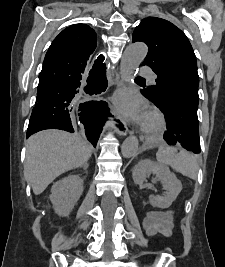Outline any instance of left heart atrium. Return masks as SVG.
Segmentation results:
<instances>
[{"mask_svg": "<svg viewBox=\"0 0 225 267\" xmlns=\"http://www.w3.org/2000/svg\"><path fill=\"white\" fill-rule=\"evenodd\" d=\"M113 102L124 116L144 124L147 118L145 102L135 93L126 89L120 90L114 95Z\"/></svg>", "mask_w": 225, "mask_h": 267, "instance_id": "obj_1", "label": "left heart atrium"}]
</instances>
